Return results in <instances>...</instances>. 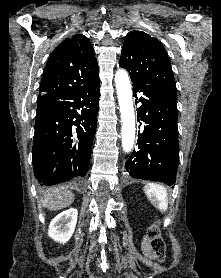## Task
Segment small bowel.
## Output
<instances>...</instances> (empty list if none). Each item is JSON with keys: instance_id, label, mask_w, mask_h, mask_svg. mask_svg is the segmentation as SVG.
<instances>
[{"instance_id": "c3829d8e", "label": "small bowel", "mask_w": 221, "mask_h": 278, "mask_svg": "<svg viewBox=\"0 0 221 278\" xmlns=\"http://www.w3.org/2000/svg\"><path fill=\"white\" fill-rule=\"evenodd\" d=\"M143 250L147 256L152 257V254L149 249V239L148 238H145L143 241Z\"/></svg>"}]
</instances>
